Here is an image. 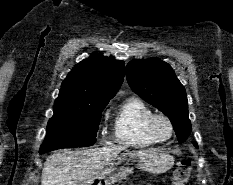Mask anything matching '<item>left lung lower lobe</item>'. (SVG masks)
I'll return each mask as SVG.
<instances>
[{"instance_id":"1","label":"left lung lower lobe","mask_w":233,"mask_h":185,"mask_svg":"<svg viewBox=\"0 0 233 185\" xmlns=\"http://www.w3.org/2000/svg\"><path fill=\"white\" fill-rule=\"evenodd\" d=\"M193 144H194L195 147H198V145L195 142H193Z\"/></svg>"}]
</instances>
